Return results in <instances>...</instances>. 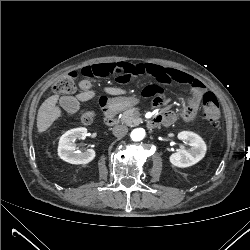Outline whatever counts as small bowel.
I'll return each instance as SVG.
<instances>
[{"label":"small bowel","mask_w":250,"mask_h":250,"mask_svg":"<svg viewBox=\"0 0 250 250\" xmlns=\"http://www.w3.org/2000/svg\"><path fill=\"white\" fill-rule=\"evenodd\" d=\"M147 71L158 78L161 83H176L180 85H189L193 91L195 100L192 101L183 111L182 117L186 120H191L197 113L198 100L204 95V89L201 83L190 75L183 72L166 69L159 65L147 64L144 65ZM165 101L164 92L160 91L158 96L154 98L153 105L155 109H159ZM154 116H158L161 122L165 126H171L175 120L176 116L173 112L167 111L165 113L155 112Z\"/></svg>","instance_id":"obj_1"}]
</instances>
